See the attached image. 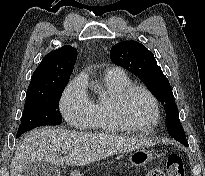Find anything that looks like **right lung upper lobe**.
<instances>
[{
    "instance_id": "right-lung-upper-lobe-1",
    "label": "right lung upper lobe",
    "mask_w": 205,
    "mask_h": 176,
    "mask_svg": "<svg viewBox=\"0 0 205 176\" xmlns=\"http://www.w3.org/2000/svg\"><path fill=\"white\" fill-rule=\"evenodd\" d=\"M77 59V50L65 45L48 53L34 71L26 96L45 93L67 84Z\"/></svg>"
}]
</instances>
